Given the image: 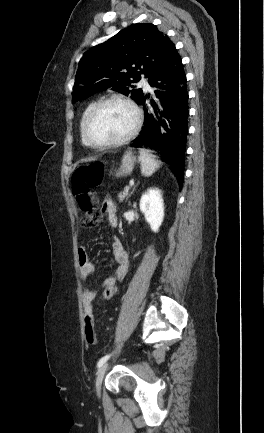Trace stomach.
I'll return each instance as SVG.
<instances>
[{
  "label": "stomach",
  "mask_w": 264,
  "mask_h": 433,
  "mask_svg": "<svg viewBox=\"0 0 264 433\" xmlns=\"http://www.w3.org/2000/svg\"><path fill=\"white\" fill-rule=\"evenodd\" d=\"M136 157L132 151H126L122 157L120 168L116 171V177L129 175L134 168Z\"/></svg>",
  "instance_id": "1"
}]
</instances>
